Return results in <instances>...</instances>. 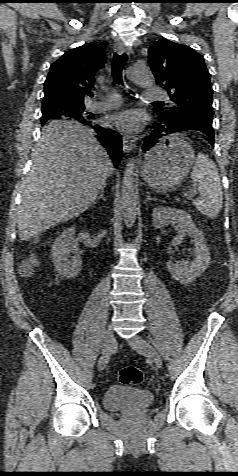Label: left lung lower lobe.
Masks as SVG:
<instances>
[{"instance_id":"left-lung-lower-lobe-1","label":"left lung lower lobe","mask_w":238,"mask_h":476,"mask_svg":"<svg viewBox=\"0 0 238 476\" xmlns=\"http://www.w3.org/2000/svg\"><path fill=\"white\" fill-rule=\"evenodd\" d=\"M212 119L208 116L187 115L173 117H159L154 129L149 134L143 145V152L154 147L158 139L170 133L194 130L205 134L204 138L214 147V131Z\"/></svg>"}]
</instances>
